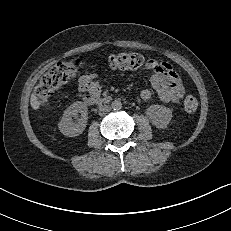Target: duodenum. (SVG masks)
Wrapping results in <instances>:
<instances>
[{
  "instance_id": "obj_1",
  "label": "duodenum",
  "mask_w": 231,
  "mask_h": 231,
  "mask_svg": "<svg viewBox=\"0 0 231 231\" xmlns=\"http://www.w3.org/2000/svg\"><path fill=\"white\" fill-rule=\"evenodd\" d=\"M110 100H111L110 97L100 98V97L92 96V95H86L84 97V102L87 105H103V104L109 103Z\"/></svg>"
}]
</instances>
